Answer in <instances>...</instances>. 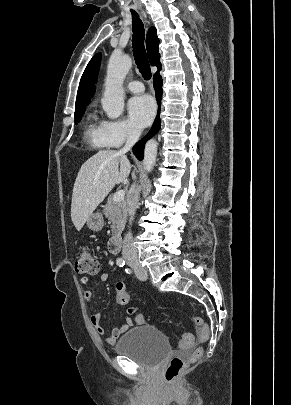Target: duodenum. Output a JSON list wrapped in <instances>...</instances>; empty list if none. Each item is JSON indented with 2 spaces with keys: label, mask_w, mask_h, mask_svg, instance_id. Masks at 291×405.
<instances>
[{
  "label": "duodenum",
  "mask_w": 291,
  "mask_h": 405,
  "mask_svg": "<svg viewBox=\"0 0 291 405\" xmlns=\"http://www.w3.org/2000/svg\"><path fill=\"white\" fill-rule=\"evenodd\" d=\"M122 246V237L120 234L112 236L107 244V248L111 253H118Z\"/></svg>",
  "instance_id": "obj_1"
}]
</instances>
